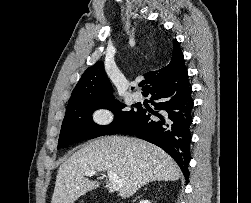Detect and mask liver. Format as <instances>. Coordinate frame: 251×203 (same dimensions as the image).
<instances>
[{"mask_svg": "<svg viewBox=\"0 0 251 203\" xmlns=\"http://www.w3.org/2000/svg\"><path fill=\"white\" fill-rule=\"evenodd\" d=\"M91 170L115 172L122 180V198L149 182L180 178L177 164L161 148L136 138L107 136L87 143L60 165L51 203H74L98 188L99 182L84 177Z\"/></svg>", "mask_w": 251, "mask_h": 203, "instance_id": "obj_1", "label": "liver"}]
</instances>
